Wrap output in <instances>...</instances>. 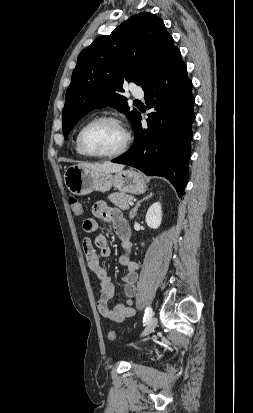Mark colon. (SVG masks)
<instances>
[{"mask_svg":"<svg viewBox=\"0 0 253 413\" xmlns=\"http://www.w3.org/2000/svg\"><path fill=\"white\" fill-rule=\"evenodd\" d=\"M69 204L71 207V210L73 212V214H75L76 216H81L84 212V208L82 203L74 196H70L69 197ZM117 338V334L115 331L110 330L108 332V339L113 341Z\"/></svg>","mask_w":253,"mask_h":413,"instance_id":"5ec220e1","label":"colon"}]
</instances>
